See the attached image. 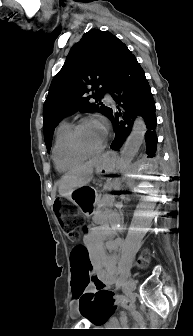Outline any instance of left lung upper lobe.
<instances>
[{"label":"left lung upper lobe","mask_w":193,"mask_h":336,"mask_svg":"<svg viewBox=\"0 0 193 336\" xmlns=\"http://www.w3.org/2000/svg\"><path fill=\"white\" fill-rule=\"evenodd\" d=\"M126 45L107 31L92 29L70 50L54 76L44 103V138L48 152L59 121L81 112H99L109 118L112 108L100 101L110 92ZM94 90L95 94L88 93ZM94 98L97 103H92Z\"/></svg>","instance_id":"5c2ea615"}]
</instances>
